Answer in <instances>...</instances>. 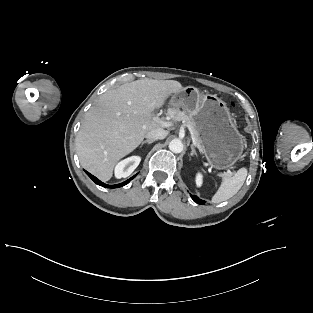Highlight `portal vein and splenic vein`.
I'll list each match as a JSON object with an SVG mask.
<instances>
[{
	"label": "portal vein and splenic vein",
	"instance_id": "1",
	"mask_svg": "<svg viewBox=\"0 0 313 313\" xmlns=\"http://www.w3.org/2000/svg\"><path fill=\"white\" fill-rule=\"evenodd\" d=\"M155 120H156L157 122H160V124H161L162 127H170V126H172V123H171V122L160 121V119L157 118V117H155ZM225 174H232V172L227 171L226 173H220L219 175H220V176H224Z\"/></svg>",
	"mask_w": 313,
	"mask_h": 313
}]
</instances>
